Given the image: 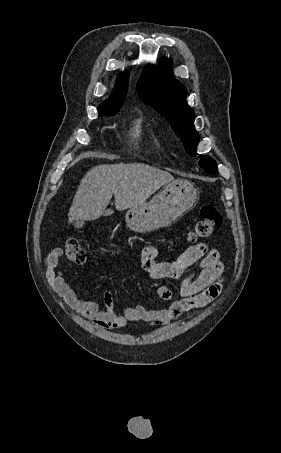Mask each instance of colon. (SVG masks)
<instances>
[{
	"label": "colon",
	"instance_id": "1",
	"mask_svg": "<svg viewBox=\"0 0 281 453\" xmlns=\"http://www.w3.org/2000/svg\"><path fill=\"white\" fill-rule=\"evenodd\" d=\"M220 224L221 217L215 205L209 202L202 203L200 216L193 231L194 240L199 241L207 238ZM64 252L68 260L72 262H84L86 260V252L77 238L69 237L65 240Z\"/></svg>",
	"mask_w": 281,
	"mask_h": 453
}]
</instances>
